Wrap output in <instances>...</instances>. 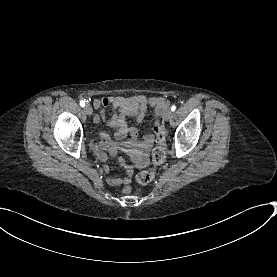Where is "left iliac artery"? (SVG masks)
<instances>
[{
	"instance_id": "44dca946",
	"label": "left iliac artery",
	"mask_w": 277,
	"mask_h": 277,
	"mask_svg": "<svg viewBox=\"0 0 277 277\" xmlns=\"http://www.w3.org/2000/svg\"><path fill=\"white\" fill-rule=\"evenodd\" d=\"M171 110H172V111H175V110H176V106H175V105H172Z\"/></svg>"
}]
</instances>
